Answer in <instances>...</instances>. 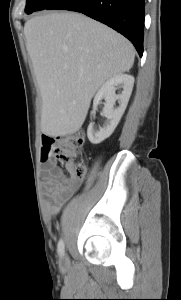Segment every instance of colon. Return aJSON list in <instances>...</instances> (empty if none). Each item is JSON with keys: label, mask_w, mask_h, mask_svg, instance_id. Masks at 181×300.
<instances>
[{"label": "colon", "mask_w": 181, "mask_h": 300, "mask_svg": "<svg viewBox=\"0 0 181 300\" xmlns=\"http://www.w3.org/2000/svg\"><path fill=\"white\" fill-rule=\"evenodd\" d=\"M83 143L82 133L57 138L47 137L43 140V159L54 155L60 163L65 165L72 178L82 179L86 174V165L78 158Z\"/></svg>", "instance_id": "colon-1"}]
</instances>
